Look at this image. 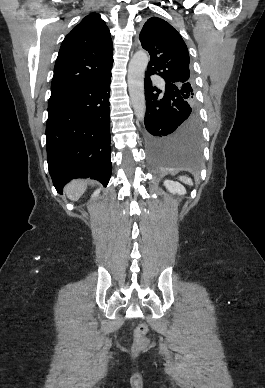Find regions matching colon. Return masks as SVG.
Returning <instances> with one entry per match:
<instances>
[{
    "instance_id": "5ec220e1",
    "label": "colon",
    "mask_w": 265,
    "mask_h": 388,
    "mask_svg": "<svg viewBox=\"0 0 265 388\" xmlns=\"http://www.w3.org/2000/svg\"><path fill=\"white\" fill-rule=\"evenodd\" d=\"M148 332V326L146 323L139 324L134 332L135 345L138 348H141L146 345L147 339L145 335Z\"/></svg>"
}]
</instances>
